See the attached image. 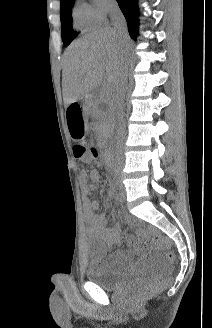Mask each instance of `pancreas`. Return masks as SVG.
<instances>
[{
  "label": "pancreas",
  "mask_w": 212,
  "mask_h": 328,
  "mask_svg": "<svg viewBox=\"0 0 212 328\" xmlns=\"http://www.w3.org/2000/svg\"><path fill=\"white\" fill-rule=\"evenodd\" d=\"M104 101V98H96L93 108V115L97 119L98 139H104L110 132V117L98 109V104Z\"/></svg>",
  "instance_id": "1"
}]
</instances>
